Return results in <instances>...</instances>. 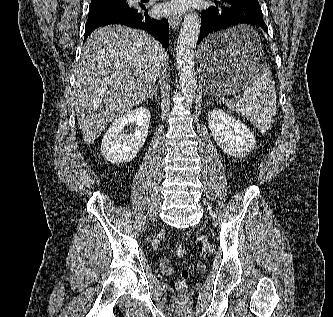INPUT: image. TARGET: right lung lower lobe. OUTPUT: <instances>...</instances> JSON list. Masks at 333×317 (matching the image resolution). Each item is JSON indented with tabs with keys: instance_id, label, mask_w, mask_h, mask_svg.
<instances>
[{
	"instance_id": "obj_1",
	"label": "right lung lower lobe",
	"mask_w": 333,
	"mask_h": 317,
	"mask_svg": "<svg viewBox=\"0 0 333 317\" xmlns=\"http://www.w3.org/2000/svg\"><path fill=\"white\" fill-rule=\"evenodd\" d=\"M120 24L147 31L164 46L168 47L169 24L167 19H154L148 15V10L143 5L128 8H102L89 11L85 27V37L94 29Z\"/></svg>"
}]
</instances>
